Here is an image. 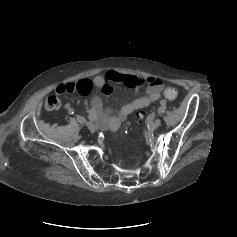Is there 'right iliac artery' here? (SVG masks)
<instances>
[{"mask_svg":"<svg viewBox=\"0 0 237 237\" xmlns=\"http://www.w3.org/2000/svg\"><path fill=\"white\" fill-rule=\"evenodd\" d=\"M74 112H75V111H74L73 108H69V109H68V113H69V114H74Z\"/></svg>","mask_w":237,"mask_h":237,"instance_id":"1","label":"right iliac artery"}]
</instances>
